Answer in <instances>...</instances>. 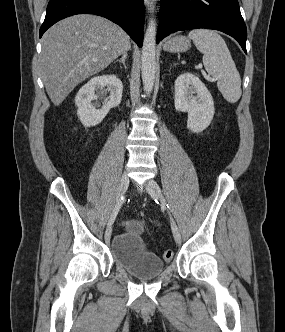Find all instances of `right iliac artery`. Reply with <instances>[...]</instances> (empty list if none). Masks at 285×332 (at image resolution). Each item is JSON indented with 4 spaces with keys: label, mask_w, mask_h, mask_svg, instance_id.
I'll list each match as a JSON object with an SVG mask.
<instances>
[{
    "label": "right iliac artery",
    "mask_w": 285,
    "mask_h": 332,
    "mask_svg": "<svg viewBox=\"0 0 285 332\" xmlns=\"http://www.w3.org/2000/svg\"><path fill=\"white\" fill-rule=\"evenodd\" d=\"M123 202H124V196H122L120 198L119 202L116 204V206H115V208H114V210L111 214V217L108 221V227L111 226L114 223V221L116 219V216H117Z\"/></svg>",
    "instance_id": "right-iliac-artery-1"
}]
</instances>
